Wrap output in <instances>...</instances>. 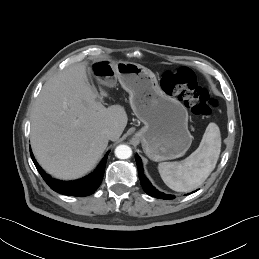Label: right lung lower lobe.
I'll list each match as a JSON object with an SVG mask.
<instances>
[{
	"instance_id": "1",
	"label": "right lung lower lobe",
	"mask_w": 259,
	"mask_h": 259,
	"mask_svg": "<svg viewBox=\"0 0 259 259\" xmlns=\"http://www.w3.org/2000/svg\"><path fill=\"white\" fill-rule=\"evenodd\" d=\"M108 154L109 152L102 159L97 169L90 175L76 181H61L54 179L49 174H47L36 162L33 153L30 150L31 158L38 172L52 190L63 195L81 197L94 193L100 186L103 179Z\"/></svg>"
}]
</instances>
